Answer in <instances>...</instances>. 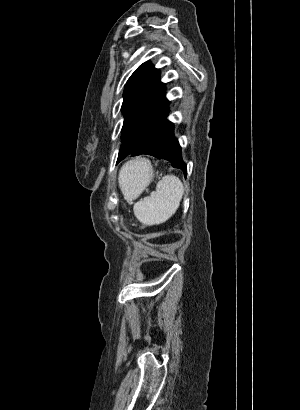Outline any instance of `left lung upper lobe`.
Instances as JSON below:
<instances>
[{
	"label": "left lung upper lobe",
	"mask_w": 300,
	"mask_h": 410,
	"mask_svg": "<svg viewBox=\"0 0 300 410\" xmlns=\"http://www.w3.org/2000/svg\"><path fill=\"white\" fill-rule=\"evenodd\" d=\"M123 97V143L117 162L141 147L166 119L169 111L160 72L150 62L143 63L131 75Z\"/></svg>",
	"instance_id": "left-lung-upper-lobe-1"
}]
</instances>
